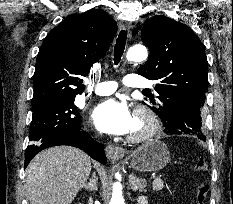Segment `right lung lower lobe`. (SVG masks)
Segmentation results:
<instances>
[{
  "instance_id": "1",
  "label": "right lung lower lobe",
  "mask_w": 233,
  "mask_h": 204,
  "mask_svg": "<svg viewBox=\"0 0 233 204\" xmlns=\"http://www.w3.org/2000/svg\"><path fill=\"white\" fill-rule=\"evenodd\" d=\"M58 145H70L80 148L100 163L106 164L104 145L96 142L87 132L78 130L58 133L47 139L37 149L26 150L24 168H26V166L38 152L45 148Z\"/></svg>"
}]
</instances>
